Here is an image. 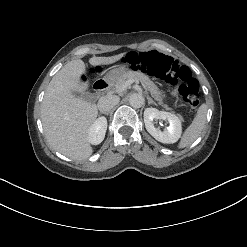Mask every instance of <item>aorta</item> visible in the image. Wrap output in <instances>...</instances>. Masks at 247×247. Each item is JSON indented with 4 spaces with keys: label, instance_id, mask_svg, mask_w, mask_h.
<instances>
[{
    "label": "aorta",
    "instance_id": "1",
    "mask_svg": "<svg viewBox=\"0 0 247 247\" xmlns=\"http://www.w3.org/2000/svg\"><path fill=\"white\" fill-rule=\"evenodd\" d=\"M129 103L134 108H140L144 104V97L140 93H133L129 97Z\"/></svg>",
    "mask_w": 247,
    "mask_h": 247
}]
</instances>
